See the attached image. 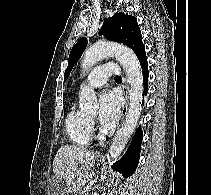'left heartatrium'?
<instances>
[{
	"label": "left heart atrium",
	"instance_id": "left-heart-atrium-1",
	"mask_svg": "<svg viewBox=\"0 0 211 195\" xmlns=\"http://www.w3.org/2000/svg\"><path fill=\"white\" fill-rule=\"evenodd\" d=\"M120 113V100L118 96L111 92L106 91L100 96V111L99 119L105 126L113 125Z\"/></svg>",
	"mask_w": 211,
	"mask_h": 195
}]
</instances>
